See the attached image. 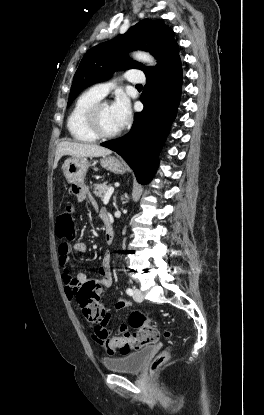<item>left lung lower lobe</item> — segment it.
I'll return each instance as SVG.
<instances>
[{
    "label": "left lung lower lobe",
    "mask_w": 264,
    "mask_h": 415,
    "mask_svg": "<svg viewBox=\"0 0 264 415\" xmlns=\"http://www.w3.org/2000/svg\"><path fill=\"white\" fill-rule=\"evenodd\" d=\"M182 90L180 57L163 69L146 76L141 95L143 111L135 113L131 130L123 137L101 145L121 155L145 184L158 166V153L176 117Z\"/></svg>",
    "instance_id": "0a47b994"
}]
</instances>
